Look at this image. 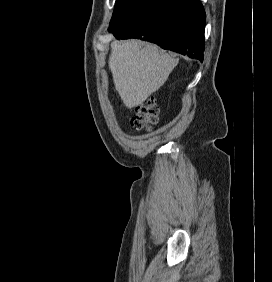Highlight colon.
<instances>
[{
	"instance_id": "1",
	"label": "colon",
	"mask_w": 272,
	"mask_h": 282,
	"mask_svg": "<svg viewBox=\"0 0 272 282\" xmlns=\"http://www.w3.org/2000/svg\"><path fill=\"white\" fill-rule=\"evenodd\" d=\"M158 115L157 108L153 100H150L136 108L131 126L134 130L147 128L156 122Z\"/></svg>"
}]
</instances>
